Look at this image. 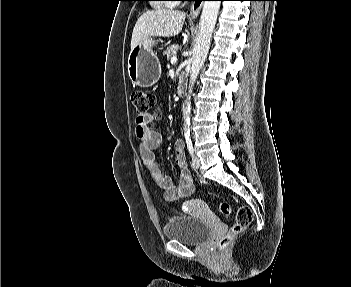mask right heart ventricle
<instances>
[{"label":"right heart ventricle","mask_w":351,"mask_h":287,"mask_svg":"<svg viewBox=\"0 0 351 287\" xmlns=\"http://www.w3.org/2000/svg\"><path fill=\"white\" fill-rule=\"evenodd\" d=\"M155 7L158 9H163V8H167L169 6L167 4H164V3H157V4H155Z\"/></svg>","instance_id":"right-heart-ventricle-1"}]
</instances>
